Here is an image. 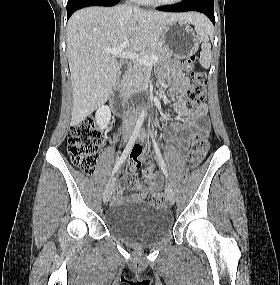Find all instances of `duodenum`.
I'll list each match as a JSON object with an SVG mask.
<instances>
[{
    "label": "duodenum",
    "instance_id": "obj_1",
    "mask_svg": "<svg viewBox=\"0 0 280 285\" xmlns=\"http://www.w3.org/2000/svg\"><path fill=\"white\" fill-rule=\"evenodd\" d=\"M144 92H147V90H145ZM125 99H126V93L123 89V83L121 82L118 84L115 90V95L112 98V105L116 111V114L119 117H122L124 115L122 105L125 102Z\"/></svg>",
    "mask_w": 280,
    "mask_h": 285
}]
</instances>
